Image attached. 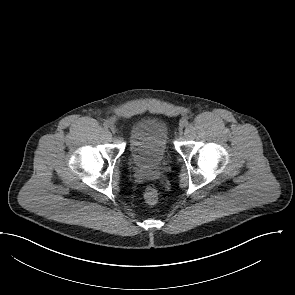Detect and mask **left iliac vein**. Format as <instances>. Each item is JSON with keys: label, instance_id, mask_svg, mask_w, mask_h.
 I'll return each mask as SVG.
<instances>
[{"label": "left iliac vein", "instance_id": "left-iliac-vein-1", "mask_svg": "<svg viewBox=\"0 0 295 295\" xmlns=\"http://www.w3.org/2000/svg\"><path fill=\"white\" fill-rule=\"evenodd\" d=\"M183 127H184V126H183V124L181 123V124H180V127H179V133H180V134H182V129H183Z\"/></svg>", "mask_w": 295, "mask_h": 295}]
</instances>
